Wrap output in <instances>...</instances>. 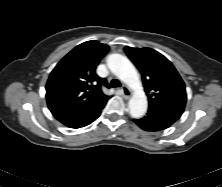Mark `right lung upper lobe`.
Here are the masks:
<instances>
[{
	"label": "right lung upper lobe",
	"instance_id": "1",
	"mask_svg": "<svg viewBox=\"0 0 222 187\" xmlns=\"http://www.w3.org/2000/svg\"><path fill=\"white\" fill-rule=\"evenodd\" d=\"M109 47L98 41L76 46L53 69L46 84L48 107L53 111L86 112L103 107L110 96L108 84L95 69Z\"/></svg>",
	"mask_w": 222,
	"mask_h": 187
}]
</instances>
